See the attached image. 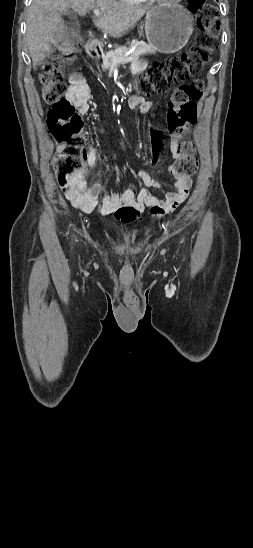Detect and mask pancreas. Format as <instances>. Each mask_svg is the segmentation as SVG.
Listing matches in <instances>:
<instances>
[{"label":"pancreas","instance_id":"cf45deb5","mask_svg":"<svg viewBox=\"0 0 253 548\" xmlns=\"http://www.w3.org/2000/svg\"><path fill=\"white\" fill-rule=\"evenodd\" d=\"M134 45H136V47L130 55L131 57L134 58L133 59L134 61H138L139 57L142 56V55L154 54L155 53V48L152 47L151 45H147V44H143V43L137 44V42L134 41V42L131 43V45L129 47L119 46L115 50L104 53L102 55V59H103V64L101 66L102 69L107 70V69H109V68H111L115 65H119L120 63L118 62V60H120L122 58H125V57H128L125 54ZM115 60L117 61L116 63H115Z\"/></svg>","mask_w":253,"mask_h":548}]
</instances>
